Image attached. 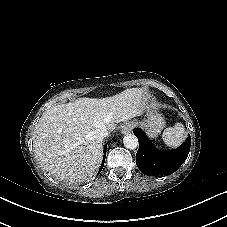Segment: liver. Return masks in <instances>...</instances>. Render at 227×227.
<instances>
[{
	"label": "liver",
	"mask_w": 227,
	"mask_h": 227,
	"mask_svg": "<svg viewBox=\"0 0 227 227\" xmlns=\"http://www.w3.org/2000/svg\"><path fill=\"white\" fill-rule=\"evenodd\" d=\"M140 88H129L102 99L80 98L45 111L35 126L33 149L42 168L66 182L91 180L98 171L103 151L97 129L109 132L119 122L140 116L146 109Z\"/></svg>",
	"instance_id": "liver-1"
}]
</instances>
